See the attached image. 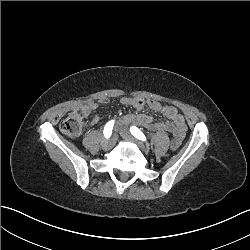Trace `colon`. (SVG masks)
I'll list each match as a JSON object with an SVG mask.
<instances>
[{"label":"colon","instance_id":"1","mask_svg":"<svg viewBox=\"0 0 250 250\" xmlns=\"http://www.w3.org/2000/svg\"><path fill=\"white\" fill-rule=\"evenodd\" d=\"M83 128V115L79 110L70 112L60 122V131L69 138L77 137ZM169 146L177 150L180 147V139L177 136L172 138Z\"/></svg>","mask_w":250,"mask_h":250}]
</instances>
